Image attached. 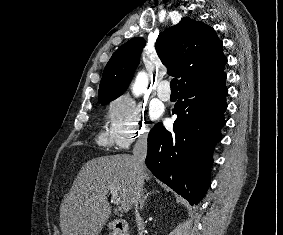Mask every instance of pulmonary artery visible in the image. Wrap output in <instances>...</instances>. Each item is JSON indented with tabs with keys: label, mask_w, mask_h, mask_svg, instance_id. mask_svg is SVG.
<instances>
[{
	"label": "pulmonary artery",
	"mask_w": 283,
	"mask_h": 235,
	"mask_svg": "<svg viewBox=\"0 0 283 235\" xmlns=\"http://www.w3.org/2000/svg\"><path fill=\"white\" fill-rule=\"evenodd\" d=\"M157 96L162 101H168L171 98V92L169 90L168 80H163L159 83L157 88Z\"/></svg>",
	"instance_id": "obj_1"
}]
</instances>
